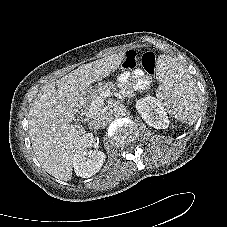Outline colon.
I'll list each match as a JSON object with an SVG mask.
<instances>
[{"mask_svg":"<svg viewBox=\"0 0 227 227\" xmlns=\"http://www.w3.org/2000/svg\"><path fill=\"white\" fill-rule=\"evenodd\" d=\"M138 64L137 55L134 51H129L126 53L122 68L131 70L134 69ZM140 64L143 69L150 75L156 72L157 61L156 56L153 52H146L141 56Z\"/></svg>","mask_w":227,"mask_h":227,"instance_id":"colon-1","label":"colon"}]
</instances>
